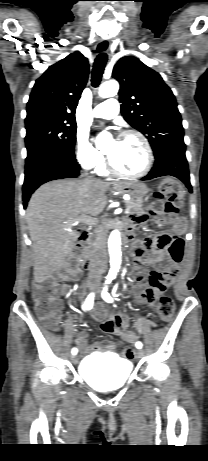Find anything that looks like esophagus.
<instances>
[{"mask_svg": "<svg viewBox=\"0 0 208 461\" xmlns=\"http://www.w3.org/2000/svg\"><path fill=\"white\" fill-rule=\"evenodd\" d=\"M99 48L105 52H108L110 49V42L108 40H102L99 44Z\"/></svg>", "mask_w": 208, "mask_h": 461, "instance_id": "1", "label": "esophagus"}]
</instances>
